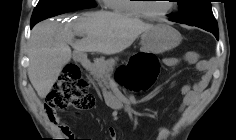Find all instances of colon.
I'll list each match as a JSON object with an SVG mask.
<instances>
[{
  "mask_svg": "<svg viewBox=\"0 0 236 140\" xmlns=\"http://www.w3.org/2000/svg\"><path fill=\"white\" fill-rule=\"evenodd\" d=\"M159 73V63L150 56H134L119 71V78L126 88L141 92L148 90ZM95 105V97L89 91L87 81L80 68L68 64L62 71L57 83L52 88L47 100V113L51 120L58 119V112L73 107L87 110Z\"/></svg>",
  "mask_w": 236,
  "mask_h": 140,
  "instance_id": "colon-1",
  "label": "colon"
}]
</instances>
